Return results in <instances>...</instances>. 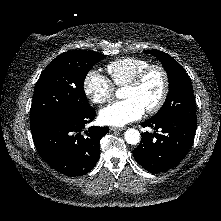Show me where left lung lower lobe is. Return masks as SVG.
Returning a JSON list of instances; mask_svg holds the SVG:
<instances>
[{
    "instance_id": "obj_1",
    "label": "left lung lower lobe",
    "mask_w": 221,
    "mask_h": 221,
    "mask_svg": "<svg viewBox=\"0 0 221 221\" xmlns=\"http://www.w3.org/2000/svg\"><path fill=\"white\" fill-rule=\"evenodd\" d=\"M142 126L156 132L142 135L133 156L145 170L159 173L176 167L187 155L194 141L197 120L173 115L150 118Z\"/></svg>"
}]
</instances>
